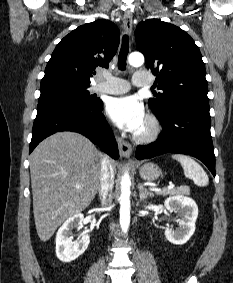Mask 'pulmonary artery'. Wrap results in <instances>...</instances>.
I'll return each instance as SVG.
<instances>
[{
  "instance_id": "1",
  "label": "pulmonary artery",
  "mask_w": 233,
  "mask_h": 283,
  "mask_svg": "<svg viewBox=\"0 0 233 283\" xmlns=\"http://www.w3.org/2000/svg\"><path fill=\"white\" fill-rule=\"evenodd\" d=\"M103 82L96 85L95 90L107 94H123L129 91L130 83L122 78L115 77L109 73L102 75ZM133 85L137 87L147 86L151 79L143 72H135L132 79Z\"/></svg>"
}]
</instances>
